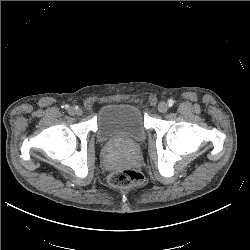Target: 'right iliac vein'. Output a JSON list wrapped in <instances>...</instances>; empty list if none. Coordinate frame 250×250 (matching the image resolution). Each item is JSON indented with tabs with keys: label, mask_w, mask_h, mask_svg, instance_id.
<instances>
[{
	"label": "right iliac vein",
	"mask_w": 250,
	"mask_h": 250,
	"mask_svg": "<svg viewBox=\"0 0 250 250\" xmlns=\"http://www.w3.org/2000/svg\"><path fill=\"white\" fill-rule=\"evenodd\" d=\"M68 112L70 115H77V116H81L83 114V110L81 108H74V107H70L68 109Z\"/></svg>",
	"instance_id": "obj_1"
}]
</instances>
